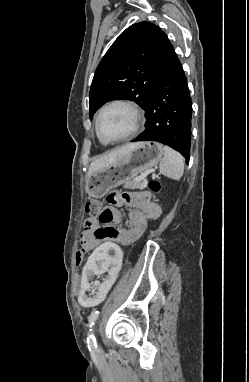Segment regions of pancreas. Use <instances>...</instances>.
Returning a JSON list of instances; mask_svg holds the SVG:
<instances>
[{
    "label": "pancreas",
    "instance_id": "pancreas-1",
    "mask_svg": "<svg viewBox=\"0 0 249 382\" xmlns=\"http://www.w3.org/2000/svg\"><path fill=\"white\" fill-rule=\"evenodd\" d=\"M144 181L136 180L135 177H130L124 181V188L126 189H139L143 186Z\"/></svg>",
    "mask_w": 249,
    "mask_h": 382
}]
</instances>
